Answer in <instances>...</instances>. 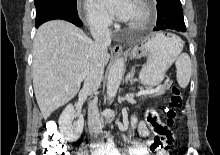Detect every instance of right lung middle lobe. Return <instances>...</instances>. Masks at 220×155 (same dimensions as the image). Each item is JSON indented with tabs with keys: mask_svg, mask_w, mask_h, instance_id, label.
Listing matches in <instances>:
<instances>
[{
	"mask_svg": "<svg viewBox=\"0 0 220 155\" xmlns=\"http://www.w3.org/2000/svg\"><path fill=\"white\" fill-rule=\"evenodd\" d=\"M35 7L37 16L56 9L77 11L76 0H35Z\"/></svg>",
	"mask_w": 220,
	"mask_h": 155,
	"instance_id": "dd1d6c3e",
	"label": "right lung middle lobe"
}]
</instances>
